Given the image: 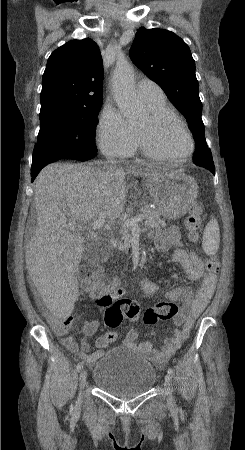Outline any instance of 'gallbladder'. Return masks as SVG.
Segmentation results:
<instances>
[{"label": "gallbladder", "mask_w": 245, "mask_h": 450, "mask_svg": "<svg viewBox=\"0 0 245 450\" xmlns=\"http://www.w3.org/2000/svg\"><path fill=\"white\" fill-rule=\"evenodd\" d=\"M110 249L99 240L86 238L84 245V260L88 262H102L109 255Z\"/></svg>", "instance_id": "1"}]
</instances>
